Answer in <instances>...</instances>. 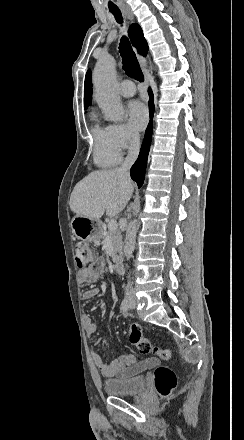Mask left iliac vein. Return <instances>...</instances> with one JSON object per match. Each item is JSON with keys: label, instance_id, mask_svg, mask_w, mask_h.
<instances>
[{"label": "left iliac vein", "instance_id": "1", "mask_svg": "<svg viewBox=\"0 0 244 440\" xmlns=\"http://www.w3.org/2000/svg\"><path fill=\"white\" fill-rule=\"evenodd\" d=\"M129 305L131 309H134L136 307V298L135 296L129 297Z\"/></svg>", "mask_w": 244, "mask_h": 440}]
</instances>
